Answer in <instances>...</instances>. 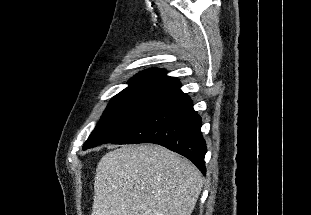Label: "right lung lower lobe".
<instances>
[{
	"instance_id": "1",
	"label": "right lung lower lobe",
	"mask_w": 311,
	"mask_h": 215,
	"mask_svg": "<svg viewBox=\"0 0 311 215\" xmlns=\"http://www.w3.org/2000/svg\"><path fill=\"white\" fill-rule=\"evenodd\" d=\"M179 81L169 86L158 104L113 144L154 143L191 160L206 173L207 151L201 132V117Z\"/></svg>"
}]
</instances>
